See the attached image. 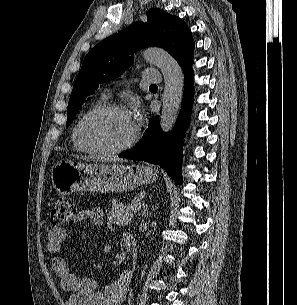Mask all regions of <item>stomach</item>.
Masks as SVG:
<instances>
[{
    "mask_svg": "<svg viewBox=\"0 0 297 305\" xmlns=\"http://www.w3.org/2000/svg\"><path fill=\"white\" fill-rule=\"evenodd\" d=\"M158 177V170L144 165L87 164L61 160L51 170L53 188L66 196L76 191L116 193L132 191L150 184Z\"/></svg>",
    "mask_w": 297,
    "mask_h": 305,
    "instance_id": "stomach-1",
    "label": "stomach"
}]
</instances>
